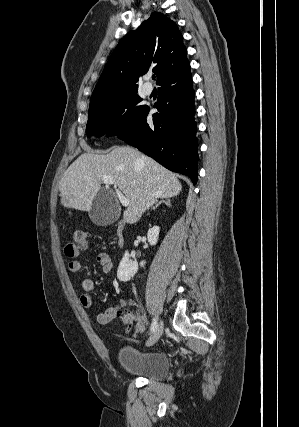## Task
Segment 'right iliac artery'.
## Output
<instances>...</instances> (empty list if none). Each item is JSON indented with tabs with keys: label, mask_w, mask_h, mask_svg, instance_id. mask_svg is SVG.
<instances>
[{
	"label": "right iliac artery",
	"mask_w": 299,
	"mask_h": 427,
	"mask_svg": "<svg viewBox=\"0 0 299 427\" xmlns=\"http://www.w3.org/2000/svg\"><path fill=\"white\" fill-rule=\"evenodd\" d=\"M156 328H157V321L156 319H153L151 328H150L151 332H154Z\"/></svg>",
	"instance_id": "obj_1"
}]
</instances>
